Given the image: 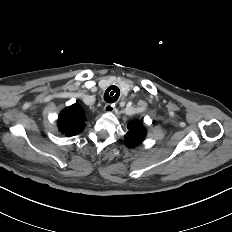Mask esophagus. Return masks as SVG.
I'll return each instance as SVG.
<instances>
[{
  "mask_svg": "<svg viewBox=\"0 0 232 232\" xmlns=\"http://www.w3.org/2000/svg\"><path fill=\"white\" fill-rule=\"evenodd\" d=\"M104 110L106 112H113L115 110V104H106Z\"/></svg>",
  "mask_w": 232,
  "mask_h": 232,
  "instance_id": "1",
  "label": "esophagus"
}]
</instances>
